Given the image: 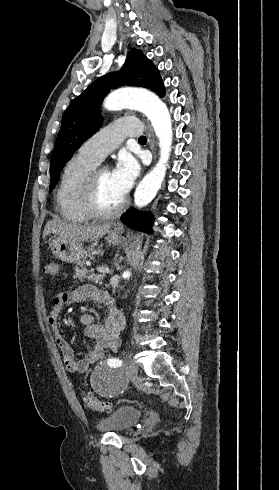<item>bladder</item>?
I'll use <instances>...</instances> for the list:
<instances>
[{
    "label": "bladder",
    "instance_id": "1",
    "mask_svg": "<svg viewBox=\"0 0 279 490\" xmlns=\"http://www.w3.org/2000/svg\"><path fill=\"white\" fill-rule=\"evenodd\" d=\"M142 416V411L134 406L122 405L108 416L97 422V428L107 433L125 432L135 426Z\"/></svg>",
    "mask_w": 279,
    "mask_h": 490
}]
</instances>
